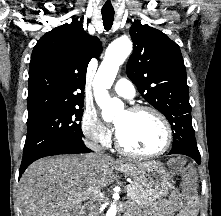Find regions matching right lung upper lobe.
<instances>
[{
	"label": "right lung upper lobe",
	"instance_id": "1",
	"mask_svg": "<svg viewBox=\"0 0 221 216\" xmlns=\"http://www.w3.org/2000/svg\"><path fill=\"white\" fill-rule=\"evenodd\" d=\"M101 51L100 40L88 35L78 19L42 36L31 55L28 117L83 104L88 63Z\"/></svg>",
	"mask_w": 221,
	"mask_h": 216
}]
</instances>
